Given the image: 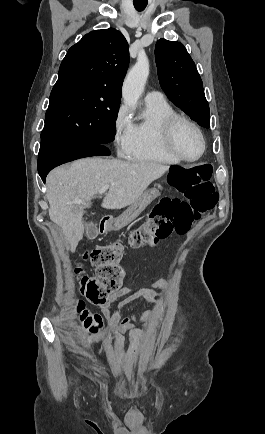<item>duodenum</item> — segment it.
Wrapping results in <instances>:
<instances>
[{
  "instance_id": "duodenum-1",
  "label": "duodenum",
  "mask_w": 265,
  "mask_h": 434,
  "mask_svg": "<svg viewBox=\"0 0 265 434\" xmlns=\"http://www.w3.org/2000/svg\"><path fill=\"white\" fill-rule=\"evenodd\" d=\"M108 224H109L108 219L102 218L99 220V228L98 229H101V232H104L107 229Z\"/></svg>"
}]
</instances>
